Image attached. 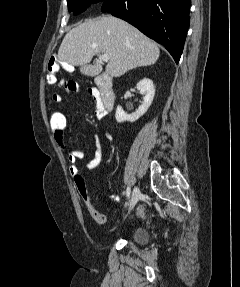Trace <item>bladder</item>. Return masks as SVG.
Returning <instances> with one entry per match:
<instances>
[{"label":"bladder","mask_w":240,"mask_h":287,"mask_svg":"<svg viewBox=\"0 0 240 287\" xmlns=\"http://www.w3.org/2000/svg\"><path fill=\"white\" fill-rule=\"evenodd\" d=\"M130 236L132 240L137 243L143 244L148 241V234L146 230L141 227H136L135 229H133Z\"/></svg>","instance_id":"obj_1"}]
</instances>
